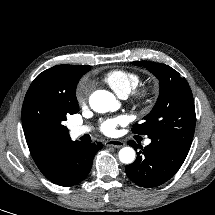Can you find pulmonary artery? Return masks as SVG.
<instances>
[{
  "label": "pulmonary artery",
  "instance_id": "1",
  "mask_svg": "<svg viewBox=\"0 0 215 215\" xmlns=\"http://www.w3.org/2000/svg\"><path fill=\"white\" fill-rule=\"evenodd\" d=\"M125 98V97H123ZM91 131V128L89 126L86 125H82V126H73L70 130V135L74 138H77L79 136H82L86 133H89ZM151 143L150 139H146L145 140V145H149Z\"/></svg>",
  "mask_w": 215,
  "mask_h": 215
}]
</instances>
